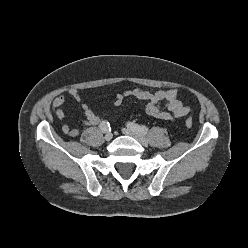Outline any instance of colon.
Wrapping results in <instances>:
<instances>
[{"instance_id": "colon-1", "label": "colon", "mask_w": 248, "mask_h": 248, "mask_svg": "<svg viewBox=\"0 0 248 248\" xmlns=\"http://www.w3.org/2000/svg\"><path fill=\"white\" fill-rule=\"evenodd\" d=\"M185 124H186V126H187L188 128H191L192 125H193L192 119H191V118H187V119L185 120Z\"/></svg>"}]
</instances>
